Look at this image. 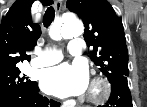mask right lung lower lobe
<instances>
[{
	"mask_svg": "<svg viewBox=\"0 0 147 107\" xmlns=\"http://www.w3.org/2000/svg\"><path fill=\"white\" fill-rule=\"evenodd\" d=\"M60 103L39 94L38 85L0 100V107H59Z\"/></svg>",
	"mask_w": 147,
	"mask_h": 107,
	"instance_id": "right-lung-lower-lobe-1",
	"label": "right lung lower lobe"
}]
</instances>
